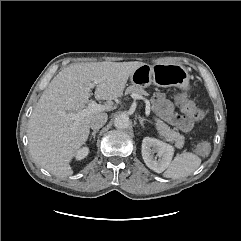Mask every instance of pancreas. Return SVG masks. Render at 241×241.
<instances>
[{"label":"pancreas","instance_id":"pancreas-1","mask_svg":"<svg viewBox=\"0 0 241 241\" xmlns=\"http://www.w3.org/2000/svg\"><path fill=\"white\" fill-rule=\"evenodd\" d=\"M125 93L130 95L139 94L148 96V93L142 87L136 85H131L127 87ZM151 102L153 103L154 99H151ZM153 119L155 121V127L161 136L166 138L168 141L175 142L176 146L179 148L184 145V136L180 135L178 132L171 129L166 123H164L159 118L153 117Z\"/></svg>","mask_w":241,"mask_h":241}]
</instances>
